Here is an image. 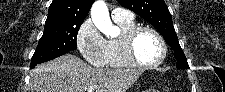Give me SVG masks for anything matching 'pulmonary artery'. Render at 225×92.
<instances>
[{
  "label": "pulmonary artery",
  "mask_w": 225,
  "mask_h": 92,
  "mask_svg": "<svg viewBox=\"0 0 225 92\" xmlns=\"http://www.w3.org/2000/svg\"><path fill=\"white\" fill-rule=\"evenodd\" d=\"M112 18L114 21L133 20V13L127 9L116 7L112 11Z\"/></svg>",
  "instance_id": "1"
}]
</instances>
